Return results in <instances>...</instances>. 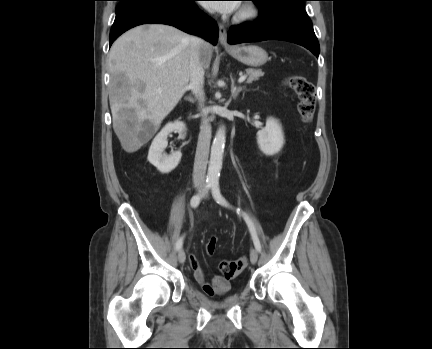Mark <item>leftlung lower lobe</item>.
I'll list each match as a JSON object with an SVG mask.
<instances>
[{"label": "left lung lower lobe", "instance_id": "obj_1", "mask_svg": "<svg viewBox=\"0 0 432 349\" xmlns=\"http://www.w3.org/2000/svg\"><path fill=\"white\" fill-rule=\"evenodd\" d=\"M259 7L261 11L256 22L230 28V44L284 40L302 45L318 57L319 43L304 8L280 1Z\"/></svg>", "mask_w": 432, "mask_h": 349}]
</instances>
